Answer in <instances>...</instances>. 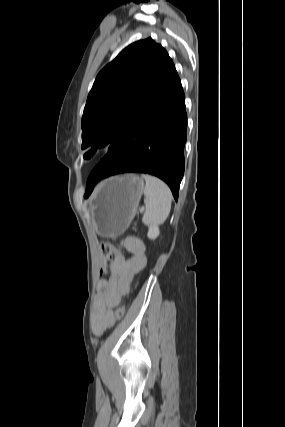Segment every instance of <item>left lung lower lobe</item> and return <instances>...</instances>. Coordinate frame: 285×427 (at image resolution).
I'll list each match as a JSON object with an SVG mask.
<instances>
[{"label":"left lung lower lobe","instance_id":"1","mask_svg":"<svg viewBox=\"0 0 285 427\" xmlns=\"http://www.w3.org/2000/svg\"><path fill=\"white\" fill-rule=\"evenodd\" d=\"M186 127L185 96L172 62L147 105L89 175L85 198L100 179L137 172L164 180L177 200L184 174Z\"/></svg>","mask_w":285,"mask_h":427}]
</instances>
